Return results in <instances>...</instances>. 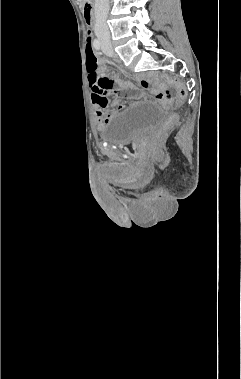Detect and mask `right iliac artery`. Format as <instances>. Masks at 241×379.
Segmentation results:
<instances>
[{
    "mask_svg": "<svg viewBox=\"0 0 241 379\" xmlns=\"http://www.w3.org/2000/svg\"><path fill=\"white\" fill-rule=\"evenodd\" d=\"M95 49L99 50L101 48V43L99 40L95 39L93 43Z\"/></svg>",
    "mask_w": 241,
    "mask_h": 379,
    "instance_id": "right-iliac-artery-1",
    "label": "right iliac artery"
}]
</instances>
